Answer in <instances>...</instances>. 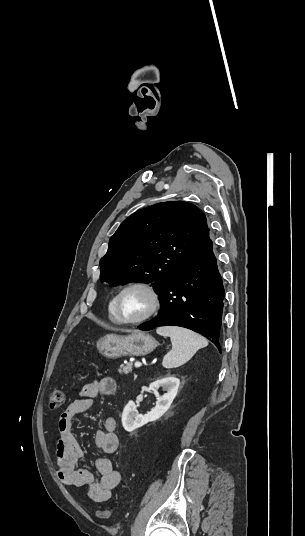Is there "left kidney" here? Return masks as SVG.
<instances>
[{
  "mask_svg": "<svg viewBox=\"0 0 305 536\" xmlns=\"http://www.w3.org/2000/svg\"><path fill=\"white\" fill-rule=\"evenodd\" d=\"M180 380L178 378H175V376H165V378H162V380H156V382H152L150 384L149 388L154 392V396H156V406L151 410V412H147L145 416H142V414H139L137 410V406H135L134 402H128L126 404L123 414H122V426L126 432H133V430H136V428H141V426H144V424H148V422H155V420H159L167 410H169L179 388ZM163 392H166V394H163V396H160L158 394L159 388H161Z\"/></svg>",
  "mask_w": 305,
  "mask_h": 536,
  "instance_id": "left-kidney-1",
  "label": "left kidney"
}]
</instances>
